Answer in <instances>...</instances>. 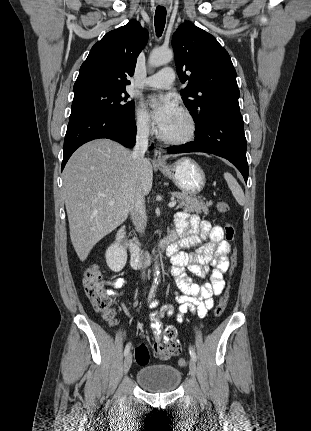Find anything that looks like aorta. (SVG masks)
Instances as JSON below:
<instances>
[{
	"instance_id": "1",
	"label": "aorta",
	"mask_w": 311,
	"mask_h": 431,
	"mask_svg": "<svg viewBox=\"0 0 311 431\" xmlns=\"http://www.w3.org/2000/svg\"><path fill=\"white\" fill-rule=\"evenodd\" d=\"M173 52L172 50H160V48H156V50H152L148 64L149 66H153V68H159V66H164V64H169L172 62ZM154 281H159L160 279V267L158 261L154 263Z\"/></svg>"
}]
</instances>
